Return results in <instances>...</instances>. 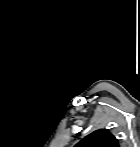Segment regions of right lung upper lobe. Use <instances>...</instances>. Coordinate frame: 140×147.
<instances>
[{"label": "right lung upper lobe", "mask_w": 140, "mask_h": 147, "mask_svg": "<svg viewBox=\"0 0 140 147\" xmlns=\"http://www.w3.org/2000/svg\"><path fill=\"white\" fill-rule=\"evenodd\" d=\"M78 147H119L117 139L107 130L100 129L82 139Z\"/></svg>", "instance_id": "right-lung-upper-lobe-1"}]
</instances>
